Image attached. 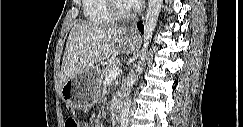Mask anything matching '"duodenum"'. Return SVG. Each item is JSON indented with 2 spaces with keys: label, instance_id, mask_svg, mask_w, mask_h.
Instances as JSON below:
<instances>
[{
  "label": "duodenum",
  "instance_id": "duodenum-1",
  "mask_svg": "<svg viewBox=\"0 0 243 127\" xmlns=\"http://www.w3.org/2000/svg\"><path fill=\"white\" fill-rule=\"evenodd\" d=\"M122 111V102L119 101L115 106V118L118 121Z\"/></svg>",
  "mask_w": 243,
  "mask_h": 127
}]
</instances>
